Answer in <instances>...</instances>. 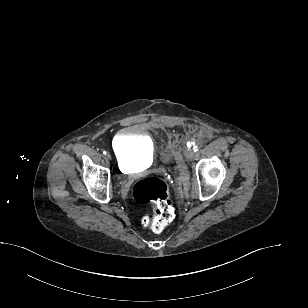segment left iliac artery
<instances>
[{
  "label": "left iliac artery",
  "mask_w": 308,
  "mask_h": 308,
  "mask_svg": "<svg viewBox=\"0 0 308 308\" xmlns=\"http://www.w3.org/2000/svg\"><path fill=\"white\" fill-rule=\"evenodd\" d=\"M193 150H194L195 152L198 151V146H197V145H194Z\"/></svg>",
  "instance_id": "44dca946"
}]
</instances>
